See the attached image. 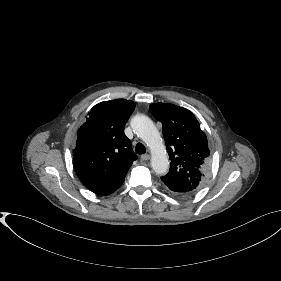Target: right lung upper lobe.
<instances>
[{"label": "right lung upper lobe", "instance_id": "right-lung-upper-lobe-1", "mask_svg": "<svg viewBox=\"0 0 281 281\" xmlns=\"http://www.w3.org/2000/svg\"><path fill=\"white\" fill-rule=\"evenodd\" d=\"M135 105L125 99L101 102L78 130L73 167L82 183L98 195L117 190L137 158L123 132Z\"/></svg>", "mask_w": 281, "mask_h": 281}]
</instances>
